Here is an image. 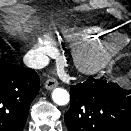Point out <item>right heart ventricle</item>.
<instances>
[{
    "label": "right heart ventricle",
    "instance_id": "1",
    "mask_svg": "<svg viewBox=\"0 0 131 131\" xmlns=\"http://www.w3.org/2000/svg\"><path fill=\"white\" fill-rule=\"evenodd\" d=\"M61 34L64 39L74 45L92 42L109 35H114L110 29L96 25L67 27L62 30Z\"/></svg>",
    "mask_w": 131,
    "mask_h": 131
}]
</instances>
